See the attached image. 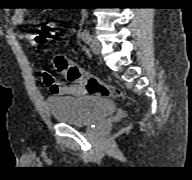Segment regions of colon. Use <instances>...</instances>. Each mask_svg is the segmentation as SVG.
<instances>
[{"label":"colon","mask_w":192,"mask_h":180,"mask_svg":"<svg viewBox=\"0 0 192 180\" xmlns=\"http://www.w3.org/2000/svg\"><path fill=\"white\" fill-rule=\"evenodd\" d=\"M62 37L60 31L50 24L45 25L33 35L34 43L42 49L51 41ZM56 70L63 75L65 83L81 86L87 94L103 97H122V92L112 85L84 71L79 65L66 56L57 55L54 58Z\"/></svg>","instance_id":"5ec220e1"}]
</instances>
